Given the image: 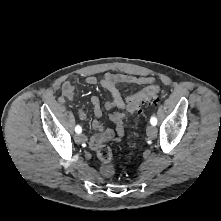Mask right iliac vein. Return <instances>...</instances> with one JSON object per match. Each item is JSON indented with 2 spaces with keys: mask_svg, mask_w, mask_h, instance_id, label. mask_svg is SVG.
Returning <instances> with one entry per match:
<instances>
[{
  "mask_svg": "<svg viewBox=\"0 0 221 221\" xmlns=\"http://www.w3.org/2000/svg\"><path fill=\"white\" fill-rule=\"evenodd\" d=\"M75 141L77 143H83L86 141V136L84 134H78L76 137H75Z\"/></svg>",
  "mask_w": 221,
  "mask_h": 221,
  "instance_id": "1",
  "label": "right iliac vein"
}]
</instances>
